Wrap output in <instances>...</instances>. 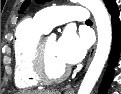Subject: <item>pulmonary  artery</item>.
<instances>
[{"label": "pulmonary artery", "instance_id": "obj_1", "mask_svg": "<svg viewBox=\"0 0 121 94\" xmlns=\"http://www.w3.org/2000/svg\"><path fill=\"white\" fill-rule=\"evenodd\" d=\"M88 18V11L80 6L48 7L40 10L35 15V19L47 30L69 21L85 22Z\"/></svg>", "mask_w": 121, "mask_h": 94}]
</instances>
